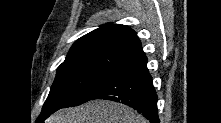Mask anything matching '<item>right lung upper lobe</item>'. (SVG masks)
I'll use <instances>...</instances> for the list:
<instances>
[{
  "label": "right lung upper lobe",
  "mask_w": 221,
  "mask_h": 123,
  "mask_svg": "<svg viewBox=\"0 0 221 123\" xmlns=\"http://www.w3.org/2000/svg\"><path fill=\"white\" fill-rule=\"evenodd\" d=\"M108 50L128 57L143 53L136 33L125 25L108 24L79 38L69 54L83 50Z\"/></svg>",
  "instance_id": "1"
}]
</instances>
